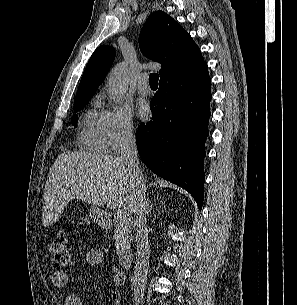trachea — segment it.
<instances>
[{
    "mask_svg": "<svg viewBox=\"0 0 297 305\" xmlns=\"http://www.w3.org/2000/svg\"><path fill=\"white\" fill-rule=\"evenodd\" d=\"M158 79H159V75L152 73L149 76V84L150 86H158Z\"/></svg>",
    "mask_w": 297,
    "mask_h": 305,
    "instance_id": "3493384b",
    "label": "trachea"
}]
</instances>
